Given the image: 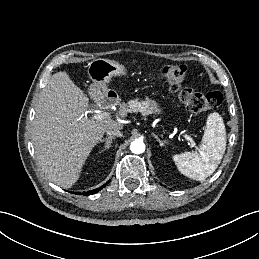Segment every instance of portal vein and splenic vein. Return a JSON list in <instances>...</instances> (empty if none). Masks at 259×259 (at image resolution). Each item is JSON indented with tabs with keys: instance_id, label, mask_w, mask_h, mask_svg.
<instances>
[{
	"instance_id": "1",
	"label": "portal vein and splenic vein",
	"mask_w": 259,
	"mask_h": 259,
	"mask_svg": "<svg viewBox=\"0 0 259 259\" xmlns=\"http://www.w3.org/2000/svg\"><path fill=\"white\" fill-rule=\"evenodd\" d=\"M108 117H109L108 112H99V113L95 114L93 118L96 120H102V119H106ZM185 138L193 143V140L190 136L185 135Z\"/></svg>"
}]
</instances>
